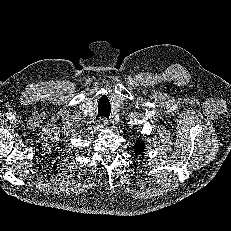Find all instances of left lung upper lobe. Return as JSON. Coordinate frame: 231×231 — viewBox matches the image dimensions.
Segmentation results:
<instances>
[{
    "label": "left lung upper lobe",
    "mask_w": 231,
    "mask_h": 231,
    "mask_svg": "<svg viewBox=\"0 0 231 231\" xmlns=\"http://www.w3.org/2000/svg\"><path fill=\"white\" fill-rule=\"evenodd\" d=\"M135 153L136 155L143 154L144 152V143L143 142H137L135 144Z\"/></svg>",
    "instance_id": "left-lung-upper-lobe-1"
}]
</instances>
